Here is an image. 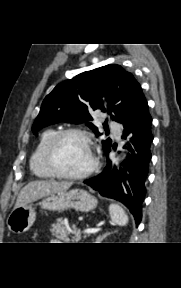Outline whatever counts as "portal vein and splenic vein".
<instances>
[{
    "instance_id": "18ae733b",
    "label": "portal vein and splenic vein",
    "mask_w": 181,
    "mask_h": 288,
    "mask_svg": "<svg viewBox=\"0 0 181 288\" xmlns=\"http://www.w3.org/2000/svg\"><path fill=\"white\" fill-rule=\"evenodd\" d=\"M99 230H100V228H88L84 231V233L94 234V233H97Z\"/></svg>"
}]
</instances>
